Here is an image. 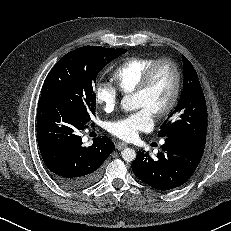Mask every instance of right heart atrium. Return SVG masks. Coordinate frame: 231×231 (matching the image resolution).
I'll list each match as a JSON object with an SVG mask.
<instances>
[{
	"label": "right heart atrium",
	"mask_w": 231,
	"mask_h": 231,
	"mask_svg": "<svg viewBox=\"0 0 231 231\" xmlns=\"http://www.w3.org/2000/svg\"><path fill=\"white\" fill-rule=\"evenodd\" d=\"M95 101L107 112L112 111L119 102V92L116 87L107 82H100L94 91Z\"/></svg>",
	"instance_id": "right-heart-atrium-1"
}]
</instances>
